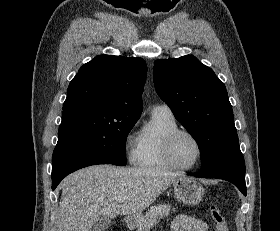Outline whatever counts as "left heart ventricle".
<instances>
[{
  "instance_id": "b2bd125f",
  "label": "left heart ventricle",
  "mask_w": 280,
  "mask_h": 231,
  "mask_svg": "<svg viewBox=\"0 0 280 231\" xmlns=\"http://www.w3.org/2000/svg\"><path fill=\"white\" fill-rule=\"evenodd\" d=\"M199 155V149L196 141L186 134L179 135L172 147V156L174 161L183 167L193 166Z\"/></svg>"
}]
</instances>
